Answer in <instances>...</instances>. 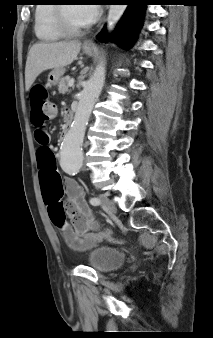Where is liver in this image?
<instances>
[{
    "mask_svg": "<svg viewBox=\"0 0 213 338\" xmlns=\"http://www.w3.org/2000/svg\"><path fill=\"white\" fill-rule=\"evenodd\" d=\"M80 49V41L34 44L28 52L26 61V91L42 72L70 65L77 58Z\"/></svg>",
    "mask_w": 213,
    "mask_h": 338,
    "instance_id": "1",
    "label": "liver"
}]
</instances>
